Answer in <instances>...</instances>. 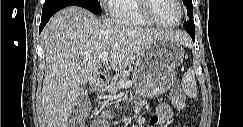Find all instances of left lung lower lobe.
<instances>
[{"label": "left lung lower lobe", "mask_w": 243, "mask_h": 127, "mask_svg": "<svg viewBox=\"0 0 243 127\" xmlns=\"http://www.w3.org/2000/svg\"><path fill=\"white\" fill-rule=\"evenodd\" d=\"M186 31L189 33V35L191 36L192 40L194 41L195 40V28H185Z\"/></svg>", "instance_id": "obj_1"}]
</instances>
